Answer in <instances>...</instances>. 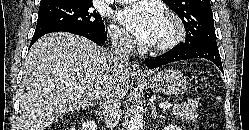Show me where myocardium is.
<instances>
[{"label": "myocardium", "mask_w": 249, "mask_h": 130, "mask_svg": "<svg viewBox=\"0 0 249 130\" xmlns=\"http://www.w3.org/2000/svg\"><path fill=\"white\" fill-rule=\"evenodd\" d=\"M165 20L172 26L173 33L168 39L152 47L151 51L155 54H161L170 51L179 45L186 37L185 26L178 16L167 14Z\"/></svg>", "instance_id": "obj_1"}]
</instances>
